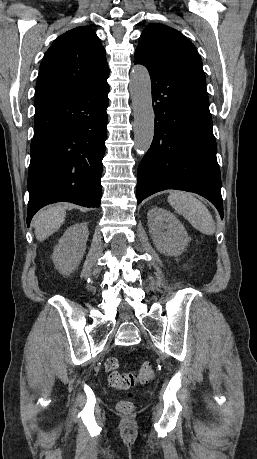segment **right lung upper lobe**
<instances>
[{
	"label": "right lung upper lobe",
	"mask_w": 257,
	"mask_h": 459,
	"mask_svg": "<svg viewBox=\"0 0 257 459\" xmlns=\"http://www.w3.org/2000/svg\"><path fill=\"white\" fill-rule=\"evenodd\" d=\"M106 52L95 32L77 27L58 37L39 68L36 101L77 92L108 78Z\"/></svg>",
	"instance_id": "1"
}]
</instances>
